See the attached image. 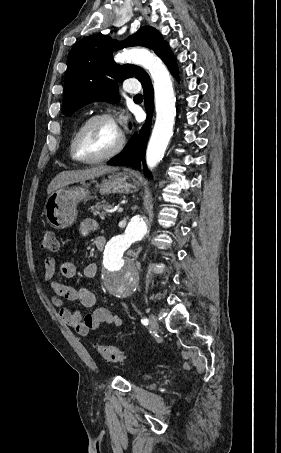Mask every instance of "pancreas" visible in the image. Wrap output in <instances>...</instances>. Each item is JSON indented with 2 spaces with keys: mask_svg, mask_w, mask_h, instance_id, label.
<instances>
[{
  "mask_svg": "<svg viewBox=\"0 0 281 453\" xmlns=\"http://www.w3.org/2000/svg\"><path fill=\"white\" fill-rule=\"evenodd\" d=\"M103 208H111V204H101V202H97V204H94V206H91V210L93 214H98L100 218H105V216H110L109 212L107 210H103Z\"/></svg>",
  "mask_w": 281,
  "mask_h": 453,
  "instance_id": "obj_1",
  "label": "pancreas"
}]
</instances>
